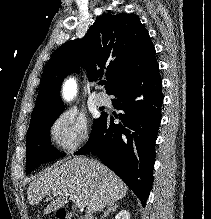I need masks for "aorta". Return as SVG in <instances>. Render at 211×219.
I'll use <instances>...</instances> for the list:
<instances>
[{
  "instance_id": "aorta-1",
  "label": "aorta",
  "mask_w": 211,
  "mask_h": 219,
  "mask_svg": "<svg viewBox=\"0 0 211 219\" xmlns=\"http://www.w3.org/2000/svg\"><path fill=\"white\" fill-rule=\"evenodd\" d=\"M77 86L74 80H68L63 88V94L66 99H71L76 94Z\"/></svg>"
}]
</instances>
